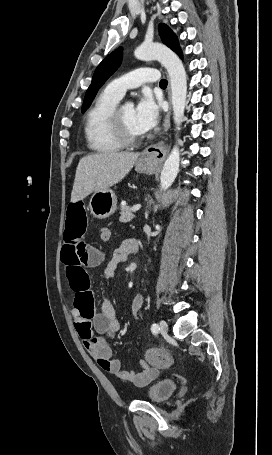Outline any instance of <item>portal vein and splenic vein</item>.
Here are the masks:
<instances>
[{"label": "portal vein and splenic vein", "mask_w": 272, "mask_h": 455, "mask_svg": "<svg viewBox=\"0 0 272 455\" xmlns=\"http://www.w3.org/2000/svg\"><path fill=\"white\" fill-rule=\"evenodd\" d=\"M141 208V205L140 204H137L135 206L132 207V211H138L139 209Z\"/></svg>", "instance_id": "obj_1"}]
</instances>
